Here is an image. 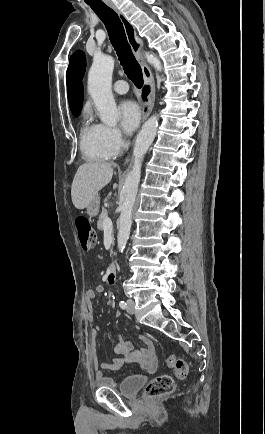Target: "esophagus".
Returning a JSON list of instances; mask_svg holds the SVG:
<instances>
[{
	"mask_svg": "<svg viewBox=\"0 0 265 434\" xmlns=\"http://www.w3.org/2000/svg\"><path fill=\"white\" fill-rule=\"evenodd\" d=\"M107 5H109V7H111L114 10V12L117 13L118 17L120 18V21L122 22L125 33H126L127 41L131 47L133 54L136 57L137 62H139V64L141 65L143 77H144L146 85L149 89V93H148L146 99L144 100L143 106H142V120L145 121L147 119V117L150 115V113L152 112V109L154 107L156 87H155V81H154V77L152 75V72L147 67V65L144 61V58L142 56L141 49L143 46V42L138 37L137 32H136V28L134 27V25L121 12V10H118V8L112 2H108ZM129 160H130V157H127V159L124 162V165H127Z\"/></svg>",
	"mask_w": 265,
	"mask_h": 434,
	"instance_id": "1",
	"label": "esophagus"
}]
</instances>
